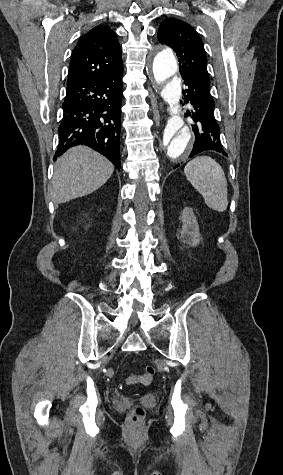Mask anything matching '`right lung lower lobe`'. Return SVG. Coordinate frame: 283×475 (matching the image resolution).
I'll list each match as a JSON object with an SVG mask.
<instances>
[{"label": "right lung lower lobe", "mask_w": 283, "mask_h": 475, "mask_svg": "<svg viewBox=\"0 0 283 475\" xmlns=\"http://www.w3.org/2000/svg\"><path fill=\"white\" fill-rule=\"evenodd\" d=\"M122 74L67 83L54 160L69 147L87 145L120 169Z\"/></svg>", "instance_id": "98d812e1"}]
</instances>
